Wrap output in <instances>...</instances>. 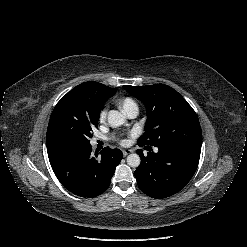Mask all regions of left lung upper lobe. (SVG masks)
<instances>
[{"label": "left lung upper lobe", "mask_w": 247, "mask_h": 247, "mask_svg": "<svg viewBox=\"0 0 247 247\" xmlns=\"http://www.w3.org/2000/svg\"><path fill=\"white\" fill-rule=\"evenodd\" d=\"M146 106L147 121L139 146H188L201 148L202 132L198 117L189 103L164 84L123 86Z\"/></svg>", "instance_id": "1"}]
</instances>
